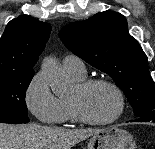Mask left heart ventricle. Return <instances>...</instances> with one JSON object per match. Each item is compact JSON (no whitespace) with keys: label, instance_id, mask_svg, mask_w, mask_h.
Listing matches in <instances>:
<instances>
[{"label":"left heart ventricle","instance_id":"b2bd125f","mask_svg":"<svg viewBox=\"0 0 155 149\" xmlns=\"http://www.w3.org/2000/svg\"><path fill=\"white\" fill-rule=\"evenodd\" d=\"M71 100L79 102L86 114L99 121L112 118L118 110L116 93L106 85H96L82 92L76 87Z\"/></svg>","mask_w":155,"mask_h":149}]
</instances>
